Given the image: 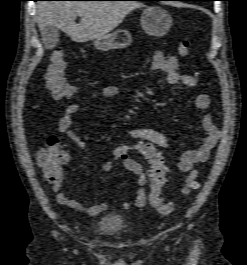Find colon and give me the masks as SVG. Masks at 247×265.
<instances>
[{
    "instance_id": "1",
    "label": "colon",
    "mask_w": 247,
    "mask_h": 265,
    "mask_svg": "<svg viewBox=\"0 0 247 265\" xmlns=\"http://www.w3.org/2000/svg\"><path fill=\"white\" fill-rule=\"evenodd\" d=\"M178 53L182 57L189 55L191 41L186 38L178 43ZM65 59L64 52L60 48L53 50L50 58V65L46 73V86L52 96L58 100H68L76 97L78 89L69 84L64 77ZM130 147L127 145L116 146L112 151L115 159H126ZM134 150L144 159L149 166V201L151 205L162 215H169L175 208V201L164 203L161 198V190L166 183V175L169 171L162 155L155 146L150 143H137ZM44 166L49 169H56L63 165V156L58 152H50L42 149L37 154ZM197 171H192L186 177L183 187L180 189V196H187L199 187Z\"/></svg>"
}]
</instances>
